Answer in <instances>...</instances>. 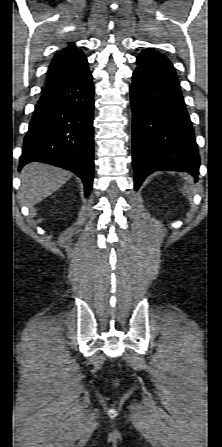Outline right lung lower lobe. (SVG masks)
<instances>
[{
    "label": "right lung lower lobe",
    "mask_w": 222,
    "mask_h": 447,
    "mask_svg": "<svg viewBox=\"0 0 222 447\" xmlns=\"http://www.w3.org/2000/svg\"><path fill=\"white\" fill-rule=\"evenodd\" d=\"M93 95L86 58L72 74L45 88L29 123L19 168L40 161L68 169L82 179L88 197L94 166Z\"/></svg>",
    "instance_id": "obj_1"
}]
</instances>
